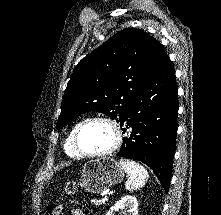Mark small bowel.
<instances>
[{
  "instance_id": "1",
  "label": "small bowel",
  "mask_w": 221,
  "mask_h": 215,
  "mask_svg": "<svg viewBox=\"0 0 221 215\" xmlns=\"http://www.w3.org/2000/svg\"><path fill=\"white\" fill-rule=\"evenodd\" d=\"M72 215H85L83 212H81L79 209H73Z\"/></svg>"
}]
</instances>
